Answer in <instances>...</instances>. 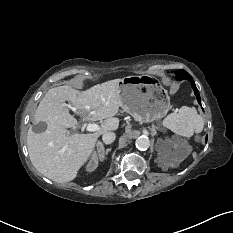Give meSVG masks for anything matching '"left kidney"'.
I'll return each mask as SVG.
<instances>
[{
	"instance_id": "1",
	"label": "left kidney",
	"mask_w": 233,
	"mask_h": 233,
	"mask_svg": "<svg viewBox=\"0 0 233 233\" xmlns=\"http://www.w3.org/2000/svg\"><path fill=\"white\" fill-rule=\"evenodd\" d=\"M168 144H171V141H168L167 142ZM174 148L177 149L178 146L176 144H174ZM165 154H166V157L170 158L171 160H173V156H172V151H171V148L170 147H167L166 150H165Z\"/></svg>"
}]
</instances>
